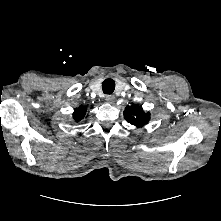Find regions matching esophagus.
<instances>
[{"label": "esophagus", "mask_w": 221, "mask_h": 221, "mask_svg": "<svg viewBox=\"0 0 221 221\" xmlns=\"http://www.w3.org/2000/svg\"><path fill=\"white\" fill-rule=\"evenodd\" d=\"M105 99L108 103H113L115 100V96L114 95H107Z\"/></svg>", "instance_id": "1"}]
</instances>
